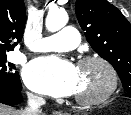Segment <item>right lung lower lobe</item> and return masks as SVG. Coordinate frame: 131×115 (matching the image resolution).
I'll return each mask as SVG.
<instances>
[{
	"label": "right lung lower lobe",
	"mask_w": 131,
	"mask_h": 115,
	"mask_svg": "<svg viewBox=\"0 0 131 115\" xmlns=\"http://www.w3.org/2000/svg\"><path fill=\"white\" fill-rule=\"evenodd\" d=\"M22 85L19 81L15 86L9 89L0 90V103L14 106L18 104L21 100Z\"/></svg>",
	"instance_id": "1"
}]
</instances>
